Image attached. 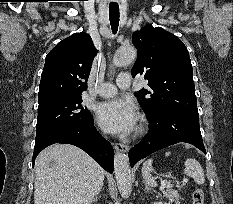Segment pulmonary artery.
I'll return each instance as SVG.
<instances>
[{
	"mask_svg": "<svg viewBox=\"0 0 233 204\" xmlns=\"http://www.w3.org/2000/svg\"><path fill=\"white\" fill-rule=\"evenodd\" d=\"M131 85V78L128 74H120L117 77L116 84L104 83L97 89L98 95L102 97H112L117 93V88L127 89Z\"/></svg>",
	"mask_w": 233,
	"mask_h": 204,
	"instance_id": "obj_1",
	"label": "pulmonary artery"
}]
</instances>
